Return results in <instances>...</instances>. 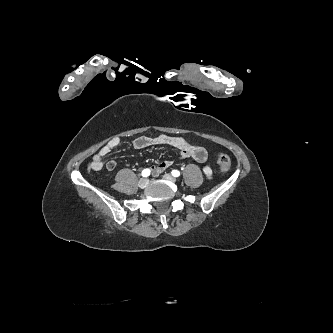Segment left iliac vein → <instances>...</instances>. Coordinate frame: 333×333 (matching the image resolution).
<instances>
[{"label": "left iliac vein", "mask_w": 333, "mask_h": 333, "mask_svg": "<svg viewBox=\"0 0 333 333\" xmlns=\"http://www.w3.org/2000/svg\"><path fill=\"white\" fill-rule=\"evenodd\" d=\"M163 178L166 180V181H169V182H172V183H175L176 182V178H174L172 175L170 174H164L163 175Z\"/></svg>", "instance_id": "4c4485c4"}]
</instances>
